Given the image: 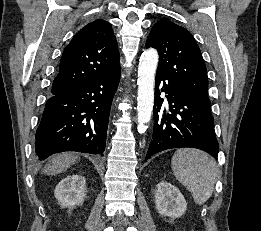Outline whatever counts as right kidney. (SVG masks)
I'll use <instances>...</instances> for the list:
<instances>
[{
	"instance_id": "ca27d5eb",
	"label": "right kidney",
	"mask_w": 261,
	"mask_h": 231,
	"mask_svg": "<svg viewBox=\"0 0 261 231\" xmlns=\"http://www.w3.org/2000/svg\"><path fill=\"white\" fill-rule=\"evenodd\" d=\"M86 180L81 175H70L61 180L55 188V198L63 207L73 208L83 203Z\"/></svg>"
}]
</instances>
